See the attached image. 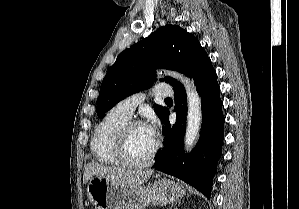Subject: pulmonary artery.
<instances>
[{
    "instance_id": "e3ab8cb5",
    "label": "pulmonary artery",
    "mask_w": 299,
    "mask_h": 209,
    "mask_svg": "<svg viewBox=\"0 0 299 209\" xmlns=\"http://www.w3.org/2000/svg\"><path fill=\"white\" fill-rule=\"evenodd\" d=\"M152 94L157 97H170L172 95V88L168 84H157L153 89ZM145 98L146 93H134L121 100L116 105V109L126 117L130 118L135 108L141 104Z\"/></svg>"
}]
</instances>
